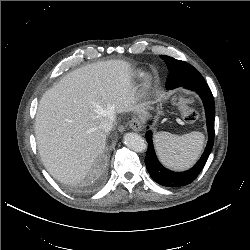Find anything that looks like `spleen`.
Returning a JSON list of instances; mask_svg holds the SVG:
<instances>
[{
	"label": "spleen",
	"instance_id": "obj_1",
	"mask_svg": "<svg viewBox=\"0 0 250 250\" xmlns=\"http://www.w3.org/2000/svg\"><path fill=\"white\" fill-rule=\"evenodd\" d=\"M204 144L201 132H191L182 136L168 132L155 135V145L160 160L170 168L190 167L200 155Z\"/></svg>",
	"mask_w": 250,
	"mask_h": 250
}]
</instances>
